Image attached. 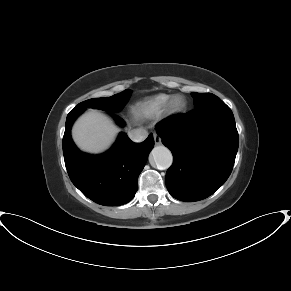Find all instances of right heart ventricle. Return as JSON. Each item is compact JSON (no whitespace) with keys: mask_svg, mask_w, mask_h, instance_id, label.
<instances>
[{"mask_svg":"<svg viewBox=\"0 0 291 291\" xmlns=\"http://www.w3.org/2000/svg\"><path fill=\"white\" fill-rule=\"evenodd\" d=\"M166 101H167V96L160 95L153 99L137 104L133 108V111L135 114L140 115L142 117L154 116V115H157L162 110Z\"/></svg>","mask_w":291,"mask_h":291,"instance_id":"e07e8e85","label":"right heart ventricle"}]
</instances>
